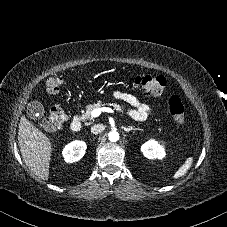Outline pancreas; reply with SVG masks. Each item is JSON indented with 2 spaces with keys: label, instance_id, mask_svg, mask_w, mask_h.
I'll return each instance as SVG.
<instances>
[{
  "label": "pancreas",
  "instance_id": "cf45deb5",
  "mask_svg": "<svg viewBox=\"0 0 227 227\" xmlns=\"http://www.w3.org/2000/svg\"><path fill=\"white\" fill-rule=\"evenodd\" d=\"M104 105L113 106L117 111H119L121 113L124 112V109L119 104H116V103L103 104L99 101L96 104H91L86 107V111L82 115V120H92L93 119V117L91 116L92 111L94 109L102 108V106H104Z\"/></svg>",
  "mask_w": 227,
  "mask_h": 227
}]
</instances>
